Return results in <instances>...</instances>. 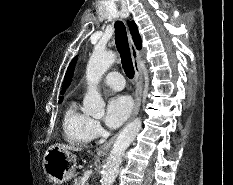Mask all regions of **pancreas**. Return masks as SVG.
<instances>
[{
	"label": "pancreas",
	"mask_w": 233,
	"mask_h": 185,
	"mask_svg": "<svg viewBox=\"0 0 233 185\" xmlns=\"http://www.w3.org/2000/svg\"><path fill=\"white\" fill-rule=\"evenodd\" d=\"M73 185H83L82 180L80 177L74 179V184Z\"/></svg>",
	"instance_id": "pancreas-1"
}]
</instances>
